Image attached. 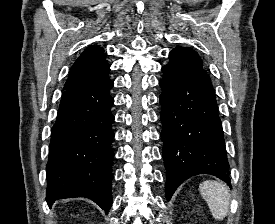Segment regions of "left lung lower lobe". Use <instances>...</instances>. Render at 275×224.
Instances as JSON below:
<instances>
[{
  "label": "left lung lower lobe",
  "instance_id": "1",
  "mask_svg": "<svg viewBox=\"0 0 275 224\" xmlns=\"http://www.w3.org/2000/svg\"><path fill=\"white\" fill-rule=\"evenodd\" d=\"M160 120L167 170L166 198L186 179L214 175L230 187L222 124L208 77L199 72L169 73L162 68Z\"/></svg>",
  "mask_w": 275,
  "mask_h": 224
}]
</instances>
